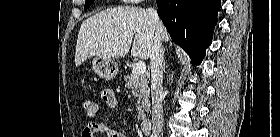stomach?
Masks as SVG:
<instances>
[{
  "mask_svg": "<svg viewBox=\"0 0 280 137\" xmlns=\"http://www.w3.org/2000/svg\"><path fill=\"white\" fill-rule=\"evenodd\" d=\"M94 72L105 80H111L118 74L117 63L113 59L94 57L92 61Z\"/></svg>",
  "mask_w": 280,
  "mask_h": 137,
  "instance_id": "1",
  "label": "stomach"
}]
</instances>
